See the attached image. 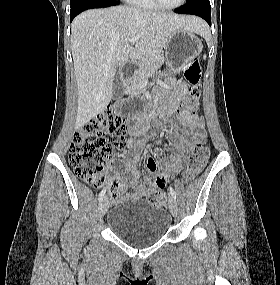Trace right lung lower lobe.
Here are the masks:
<instances>
[{
	"label": "right lung lower lobe",
	"mask_w": 280,
	"mask_h": 285,
	"mask_svg": "<svg viewBox=\"0 0 280 285\" xmlns=\"http://www.w3.org/2000/svg\"><path fill=\"white\" fill-rule=\"evenodd\" d=\"M119 2L117 0L106 1V0H85L77 4L76 6L71 7L70 10V19L71 21L74 19L82 11L92 8H101V7H109L118 5Z\"/></svg>",
	"instance_id": "obj_1"
}]
</instances>
